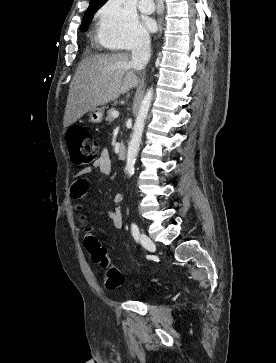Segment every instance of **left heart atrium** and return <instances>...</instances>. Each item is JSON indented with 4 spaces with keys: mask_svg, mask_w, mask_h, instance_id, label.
Listing matches in <instances>:
<instances>
[{
    "mask_svg": "<svg viewBox=\"0 0 276 363\" xmlns=\"http://www.w3.org/2000/svg\"><path fill=\"white\" fill-rule=\"evenodd\" d=\"M144 23L149 30H153L155 28V21L152 18H145Z\"/></svg>",
    "mask_w": 276,
    "mask_h": 363,
    "instance_id": "1",
    "label": "left heart atrium"
}]
</instances>
